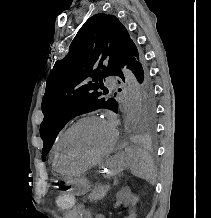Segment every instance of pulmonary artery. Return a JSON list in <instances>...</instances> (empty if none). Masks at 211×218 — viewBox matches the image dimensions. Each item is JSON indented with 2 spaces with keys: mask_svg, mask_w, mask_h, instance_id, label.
Wrapping results in <instances>:
<instances>
[{
  "mask_svg": "<svg viewBox=\"0 0 211 218\" xmlns=\"http://www.w3.org/2000/svg\"><path fill=\"white\" fill-rule=\"evenodd\" d=\"M106 80L104 81V84L107 85V89H110L111 91H118V80H113V75H106Z\"/></svg>",
  "mask_w": 211,
  "mask_h": 218,
  "instance_id": "1",
  "label": "pulmonary artery"
}]
</instances>
